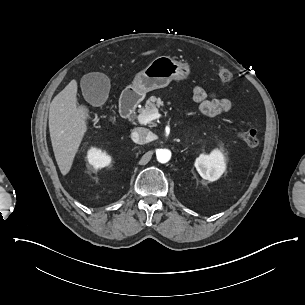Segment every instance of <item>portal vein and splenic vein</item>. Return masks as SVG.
<instances>
[{
  "mask_svg": "<svg viewBox=\"0 0 305 305\" xmlns=\"http://www.w3.org/2000/svg\"><path fill=\"white\" fill-rule=\"evenodd\" d=\"M163 116L157 110H153V112H142L137 115V121L141 124H147L152 120L163 118Z\"/></svg>",
  "mask_w": 305,
  "mask_h": 305,
  "instance_id": "obj_1",
  "label": "portal vein and splenic vein"
}]
</instances>
